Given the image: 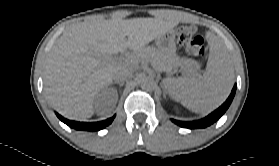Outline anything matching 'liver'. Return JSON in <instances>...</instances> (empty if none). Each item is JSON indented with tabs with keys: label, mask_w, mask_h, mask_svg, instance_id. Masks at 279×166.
I'll use <instances>...</instances> for the list:
<instances>
[{
	"label": "liver",
	"mask_w": 279,
	"mask_h": 166,
	"mask_svg": "<svg viewBox=\"0 0 279 166\" xmlns=\"http://www.w3.org/2000/svg\"><path fill=\"white\" fill-rule=\"evenodd\" d=\"M178 22L177 13L167 11L158 18L98 15L70 26L48 54L44 77L48 101L66 118L87 120L94 114L95 95L112 83L117 70L128 67L104 58L127 49L139 51Z\"/></svg>",
	"instance_id": "liver-1"
}]
</instances>
